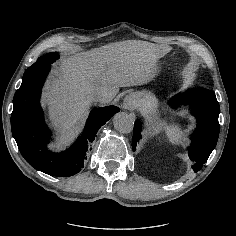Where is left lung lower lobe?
Returning a JSON list of instances; mask_svg holds the SVG:
<instances>
[{
	"label": "left lung lower lobe",
	"instance_id": "1",
	"mask_svg": "<svg viewBox=\"0 0 236 236\" xmlns=\"http://www.w3.org/2000/svg\"><path fill=\"white\" fill-rule=\"evenodd\" d=\"M185 103L190 104L192 114L197 118V128L189 147V157L195 162L193 169L197 172L202 168L217 144L220 130L218 122L220 107L216 95L205 88L189 89L183 94L175 95L170 100L172 107ZM141 130V122L137 120L133 129V151L136 150L137 143L141 138Z\"/></svg>",
	"mask_w": 236,
	"mask_h": 236
}]
</instances>
